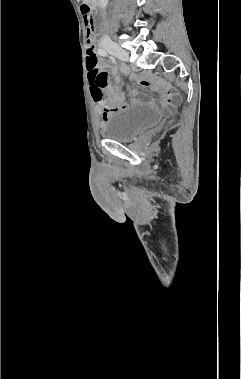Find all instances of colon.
Instances as JSON below:
<instances>
[{
    "label": "colon",
    "mask_w": 241,
    "mask_h": 379,
    "mask_svg": "<svg viewBox=\"0 0 241 379\" xmlns=\"http://www.w3.org/2000/svg\"><path fill=\"white\" fill-rule=\"evenodd\" d=\"M83 14L87 15L86 6H82ZM87 80L90 83V88L93 89L94 97L100 102L103 108L107 111L116 110V103L104 95L103 89L107 83V75L98 68V58L93 46V34L91 28L87 29Z\"/></svg>",
    "instance_id": "5ec220e1"
}]
</instances>
